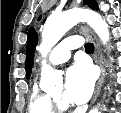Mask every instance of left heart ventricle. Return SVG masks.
Returning <instances> with one entry per match:
<instances>
[{
    "label": "left heart ventricle",
    "mask_w": 121,
    "mask_h": 113,
    "mask_svg": "<svg viewBox=\"0 0 121 113\" xmlns=\"http://www.w3.org/2000/svg\"><path fill=\"white\" fill-rule=\"evenodd\" d=\"M51 95L55 98H57L58 100L65 102L64 98H63V94H62V89H58L56 91H54L53 93H51Z\"/></svg>",
    "instance_id": "b2bd125f"
}]
</instances>
